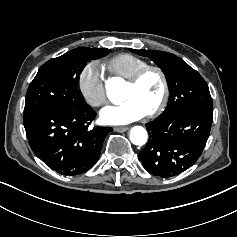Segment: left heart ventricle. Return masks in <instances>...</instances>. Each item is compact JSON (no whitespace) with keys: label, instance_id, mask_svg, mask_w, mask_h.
Instances as JSON below:
<instances>
[{"label":"left heart ventricle","instance_id":"b2bd125f","mask_svg":"<svg viewBox=\"0 0 237 237\" xmlns=\"http://www.w3.org/2000/svg\"><path fill=\"white\" fill-rule=\"evenodd\" d=\"M163 95V83L155 71L148 72L137 84H125L121 90L123 100L133 101L145 113L153 110Z\"/></svg>","mask_w":237,"mask_h":237}]
</instances>
